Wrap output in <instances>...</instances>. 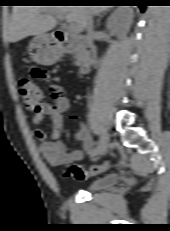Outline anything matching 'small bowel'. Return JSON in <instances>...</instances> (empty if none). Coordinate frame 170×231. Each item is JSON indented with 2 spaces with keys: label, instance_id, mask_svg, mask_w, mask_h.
Here are the masks:
<instances>
[{
  "label": "small bowel",
  "instance_id": "small-bowel-1",
  "mask_svg": "<svg viewBox=\"0 0 170 231\" xmlns=\"http://www.w3.org/2000/svg\"><path fill=\"white\" fill-rule=\"evenodd\" d=\"M31 77L42 82H50L49 73L39 67H34L31 70ZM49 102H43L32 117V123L35 126V136L40 141V153L46 163L51 167H58L65 164H70L83 159L85 154L93 152L94 141L90 131L85 125H81L76 133V139L81 142L83 149L68 151L66 144L60 139L63 122L62 114L68 109L69 102L64 93L62 86L58 84L49 85ZM45 117H50L52 121V132L50 138L44 131L38 128Z\"/></svg>",
  "mask_w": 170,
  "mask_h": 231
}]
</instances>
